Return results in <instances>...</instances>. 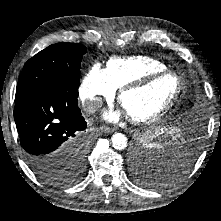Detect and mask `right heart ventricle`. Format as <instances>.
Instances as JSON below:
<instances>
[{
	"instance_id": "1",
	"label": "right heart ventricle",
	"mask_w": 221,
	"mask_h": 221,
	"mask_svg": "<svg viewBox=\"0 0 221 221\" xmlns=\"http://www.w3.org/2000/svg\"><path fill=\"white\" fill-rule=\"evenodd\" d=\"M167 66L156 58L145 55L113 57L108 60L106 74L116 88L149 73L166 70Z\"/></svg>"
}]
</instances>
